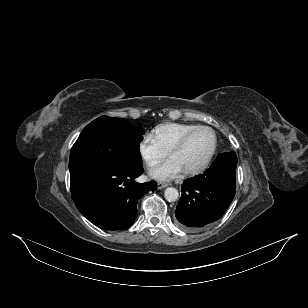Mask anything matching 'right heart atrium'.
I'll list each match as a JSON object with an SVG mask.
<instances>
[{"instance_id":"right-heart-atrium-1","label":"right heart atrium","mask_w":308,"mask_h":308,"mask_svg":"<svg viewBox=\"0 0 308 308\" xmlns=\"http://www.w3.org/2000/svg\"><path fill=\"white\" fill-rule=\"evenodd\" d=\"M137 150L143 162L149 167L155 166L167 156V151L159 145L151 134L141 137Z\"/></svg>"}]
</instances>
